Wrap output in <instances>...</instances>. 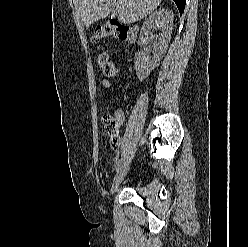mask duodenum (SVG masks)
I'll return each mask as SVG.
<instances>
[{"label":"duodenum","mask_w":248,"mask_h":247,"mask_svg":"<svg viewBox=\"0 0 248 247\" xmlns=\"http://www.w3.org/2000/svg\"><path fill=\"white\" fill-rule=\"evenodd\" d=\"M119 27L124 28L127 31V36H129L130 39L135 38L136 33H137V27L135 25L124 26L120 24Z\"/></svg>","instance_id":"410a0bca"}]
</instances>
